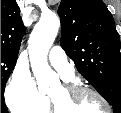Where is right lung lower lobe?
I'll use <instances>...</instances> for the list:
<instances>
[{
  "label": "right lung lower lobe",
  "instance_id": "right-lung-lower-lobe-1",
  "mask_svg": "<svg viewBox=\"0 0 121 113\" xmlns=\"http://www.w3.org/2000/svg\"><path fill=\"white\" fill-rule=\"evenodd\" d=\"M1 113H8L6 108L1 107Z\"/></svg>",
  "mask_w": 121,
  "mask_h": 113
}]
</instances>
